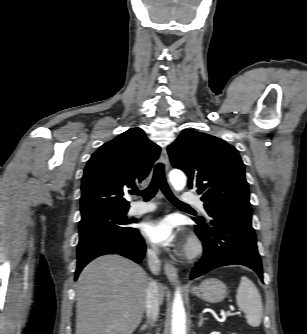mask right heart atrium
I'll return each mask as SVG.
<instances>
[{
  "label": "right heart atrium",
  "mask_w": 307,
  "mask_h": 334,
  "mask_svg": "<svg viewBox=\"0 0 307 334\" xmlns=\"http://www.w3.org/2000/svg\"><path fill=\"white\" fill-rule=\"evenodd\" d=\"M147 253L149 255H155L156 254V250L153 247H148L147 248Z\"/></svg>",
  "instance_id": "right-heart-atrium-1"
}]
</instances>
